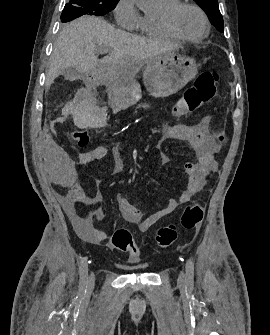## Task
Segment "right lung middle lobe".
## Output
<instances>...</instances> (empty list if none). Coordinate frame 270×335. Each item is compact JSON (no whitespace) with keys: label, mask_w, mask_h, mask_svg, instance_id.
I'll use <instances>...</instances> for the list:
<instances>
[{"label":"right lung middle lobe","mask_w":270,"mask_h":335,"mask_svg":"<svg viewBox=\"0 0 270 335\" xmlns=\"http://www.w3.org/2000/svg\"><path fill=\"white\" fill-rule=\"evenodd\" d=\"M119 0H69L61 14V22H69L82 15L103 16L115 8Z\"/></svg>","instance_id":"1"}]
</instances>
